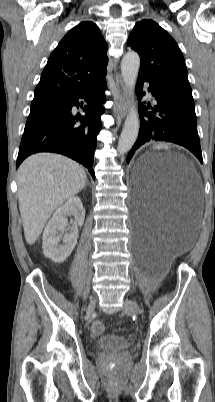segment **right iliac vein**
<instances>
[{
	"instance_id": "1",
	"label": "right iliac vein",
	"mask_w": 215,
	"mask_h": 402,
	"mask_svg": "<svg viewBox=\"0 0 215 402\" xmlns=\"http://www.w3.org/2000/svg\"><path fill=\"white\" fill-rule=\"evenodd\" d=\"M96 302H97V299L95 297L91 299V301H90V303L88 305V308H87V315L88 316H90L93 313V311L95 309V306H96Z\"/></svg>"
}]
</instances>
